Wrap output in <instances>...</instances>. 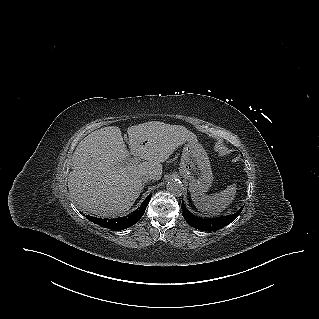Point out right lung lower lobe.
<instances>
[{"label":"right lung lower lobe","instance_id":"1","mask_svg":"<svg viewBox=\"0 0 319 319\" xmlns=\"http://www.w3.org/2000/svg\"><path fill=\"white\" fill-rule=\"evenodd\" d=\"M150 199H151V194L147 196V198L143 201V203L138 209H136L133 213L125 217L115 218V219H102L97 217H91L88 215L86 217L88 220L92 221L93 223L114 231L126 229L136 224L137 221L140 220V218L143 216L145 212V209Z\"/></svg>","mask_w":319,"mask_h":319}]
</instances>
